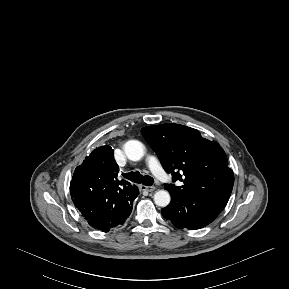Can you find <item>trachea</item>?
<instances>
[{
  "label": "trachea",
  "mask_w": 289,
  "mask_h": 289,
  "mask_svg": "<svg viewBox=\"0 0 289 289\" xmlns=\"http://www.w3.org/2000/svg\"><path fill=\"white\" fill-rule=\"evenodd\" d=\"M123 177L129 181L134 183H142L145 186H152L154 180L151 176L145 175L142 176L139 172H130V173H123Z\"/></svg>",
  "instance_id": "obj_1"
}]
</instances>
